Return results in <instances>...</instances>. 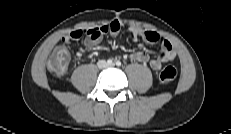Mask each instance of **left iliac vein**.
Returning <instances> with one entry per match:
<instances>
[{
    "instance_id": "1",
    "label": "left iliac vein",
    "mask_w": 231,
    "mask_h": 134,
    "mask_svg": "<svg viewBox=\"0 0 231 134\" xmlns=\"http://www.w3.org/2000/svg\"><path fill=\"white\" fill-rule=\"evenodd\" d=\"M108 66H109V67H113V66H114V64H109Z\"/></svg>"
}]
</instances>
